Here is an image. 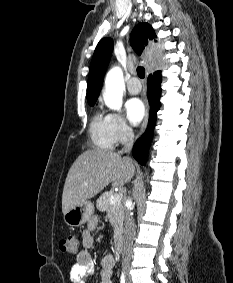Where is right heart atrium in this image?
Masks as SVG:
<instances>
[{"label": "right heart atrium", "mask_w": 233, "mask_h": 283, "mask_svg": "<svg viewBox=\"0 0 233 283\" xmlns=\"http://www.w3.org/2000/svg\"><path fill=\"white\" fill-rule=\"evenodd\" d=\"M108 117L115 143H123L132 137V129L122 115L110 113Z\"/></svg>", "instance_id": "obj_1"}]
</instances>
